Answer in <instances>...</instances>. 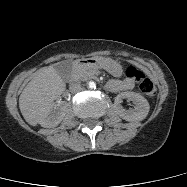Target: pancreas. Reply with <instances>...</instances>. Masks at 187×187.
<instances>
[{
	"instance_id": "obj_1",
	"label": "pancreas",
	"mask_w": 187,
	"mask_h": 187,
	"mask_svg": "<svg viewBox=\"0 0 187 187\" xmlns=\"http://www.w3.org/2000/svg\"><path fill=\"white\" fill-rule=\"evenodd\" d=\"M99 70L91 65H85L75 71L74 77L78 81H87L90 79H97Z\"/></svg>"
}]
</instances>
